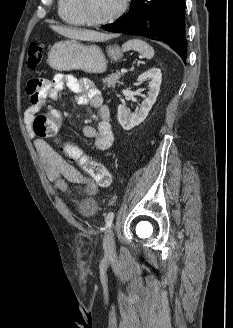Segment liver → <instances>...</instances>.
<instances>
[{
	"instance_id": "liver-1",
	"label": "liver",
	"mask_w": 233,
	"mask_h": 328,
	"mask_svg": "<svg viewBox=\"0 0 233 328\" xmlns=\"http://www.w3.org/2000/svg\"><path fill=\"white\" fill-rule=\"evenodd\" d=\"M50 28L58 34L73 40L102 41L105 39V35L103 33L92 30L77 29L57 25H51Z\"/></svg>"
}]
</instances>
